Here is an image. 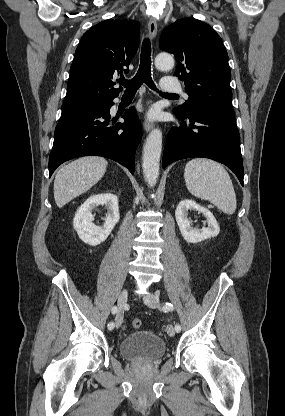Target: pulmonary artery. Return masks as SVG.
Segmentation results:
<instances>
[{
	"label": "pulmonary artery",
	"mask_w": 285,
	"mask_h": 416,
	"mask_svg": "<svg viewBox=\"0 0 285 416\" xmlns=\"http://www.w3.org/2000/svg\"><path fill=\"white\" fill-rule=\"evenodd\" d=\"M172 77H164L161 80L162 88L167 90V94L169 96H176L179 93H182L184 97H188V94L186 93L185 89L178 83L177 81L175 83L172 82ZM116 107V104L114 105V108Z\"/></svg>",
	"instance_id": "e3ab8cb5"
}]
</instances>
